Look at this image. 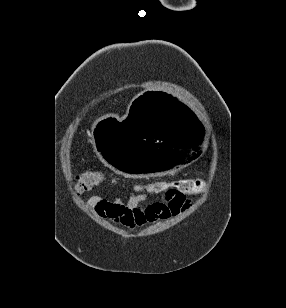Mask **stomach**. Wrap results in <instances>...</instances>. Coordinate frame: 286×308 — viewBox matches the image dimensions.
<instances>
[{
	"mask_svg": "<svg viewBox=\"0 0 286 308\" xmlns=\"http://www.w3.org/2000/svg\"><path fill=\"white\" fill-rule=\"evenodd\" d=\"M180 100L173 91H143L128 107V118L100 113L91 122L90 149L101 165L127 177H173L193 168L195 159H204L209 125L202 112Z\"/></svg>",
	"mask_w": 286,
	"mask_h": 308,
	"instance_id": "1",
	"label": "stomach"
}]
</instances>
